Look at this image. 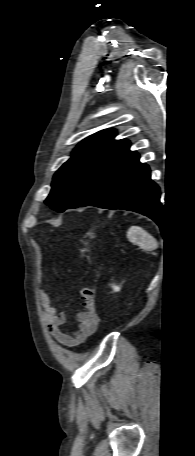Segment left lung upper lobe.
Returning <instances> with one entry per match:
<instances>
[{"instance_id":"left-lung-upper-lobe-1","label":"left lung upper lobe","mask_w":195,"mask_h":456,"mask_svg":"<svg viewBox=\"0 0 195 456\" xmlns=\"http://www.w3.org/2000/svg\"><path fill=\"white\" fill-rule=\"evenodd\" d=\"M105 129L84 139L55 173L45 203L58 212L80 207L104 184L129 149L128 140H114Z\"/></svg>"}]
</instances>
